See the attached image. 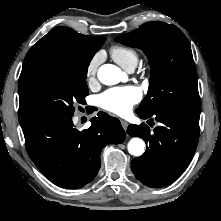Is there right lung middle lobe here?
<instances>
[{
  "instance_id": "obj_1",
  "label": "right lung middle lobe",
  "mask_w": 221,
  "mask_h": 221,
  "mask_svg": "<svg viewBox=\"0 0 221 221\" xmlns=\"http://www.w3.org/2000/svg\"><path fill=\"white\" fill-rule=\"evenodd\" d=\"M92 54L76 55L28 85L19 95V122L52 115H73L88 95L86 76Z\"/></svg>"
}]
</instances>
